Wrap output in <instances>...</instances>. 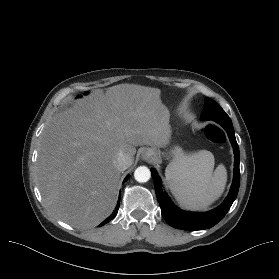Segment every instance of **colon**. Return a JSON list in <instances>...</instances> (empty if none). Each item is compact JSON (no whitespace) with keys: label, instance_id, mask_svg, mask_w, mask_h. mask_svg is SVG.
<instances>
[{"label":"colon","instance_id":"colon-1","mask_svg":"<svg viewBox=\"0 0 279 279\" xmlns=\"http://www.w3.org/2000/svg\"><path fill=\"white\" fill-rule=\"evenodd\" d=\"M206 138L215 144H222L226 140L225 132L216 125H209L204 130Z\"/></svg>","mask_w":279,"mask_h":279}]
</instances>
